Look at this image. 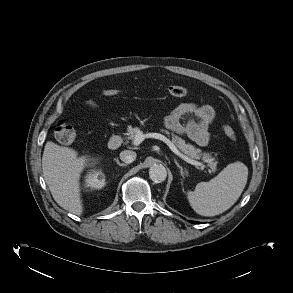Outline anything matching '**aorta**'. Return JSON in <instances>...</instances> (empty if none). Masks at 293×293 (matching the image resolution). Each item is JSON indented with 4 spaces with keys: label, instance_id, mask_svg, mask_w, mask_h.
Segmentation results:
<instances>
[{
    "label": "aorta",
    "instance_id": "aorta-1",
    "mask_svg": "<svg viewBox=\"0 0 293 293\" xmlns=\"http://www.w3.org/2000/svg\"><path fill=\"white\" fill-rule=\"evenodd\" d=\"M150 179L156 183H161L166 180L167 171L163 165L154 164L149 169Z\"/></svg>",
    "mask_w": 293,
    "mask_h": 293
}]
</instances>
